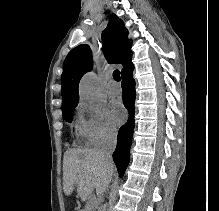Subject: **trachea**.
<instances>
[{
	"mask_svg": "<svg viewBox=\"0 0 219 211\" xmlns=\"http://www.w3.org/2000/svg\"><path fill=\"white\" fill-rule=\"evenodd\" d=\"M113 78H114L115 81H121V77H120V72H119V70H115V71L113 72Z\"/></svg>",
	"mask_w": 219,
	"mask_h": 211,
	"instance_id": "3493384b",
	"label": "trachea"
}]
</instances>
